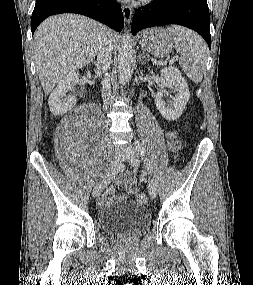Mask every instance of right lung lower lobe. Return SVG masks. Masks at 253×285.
<instances>
[{"mask_svg":"<svg viewBox=\"0 0 253 285\" xmlns=\"http://www.w3.org/2000/svg\"><path fill=\"white\" fill-rule=\"evenodd\" d=\"M60 13L82 14L117 31L124 26L121 6L115 0H36L31 18L32 35L44 19Z\"/></svg>","mask_w":253,"mask_h":285,"instance_id":"1","label":"right lung lower lobe"}]
</instances>
